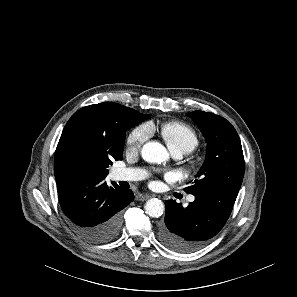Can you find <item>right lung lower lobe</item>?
<instances>
[{
  "instance_id": "obj_1",
  "label": "right lung lower lobe",
  "mask_w": 297,
  "mask_h": 297,
  "mask_svg": "<svg viewBox=\"0 0 297 297\" xmlns=\"http://www.w3.org/2000/svg\"><path fill=\"white\" fill-rule=\"evenodd\" d=\"M92 175H80L58 185L61 208L85 239L105 243L115 239L122 225L121 210L134 199L130 189Z\"/></svg>"
}]
</instances>
